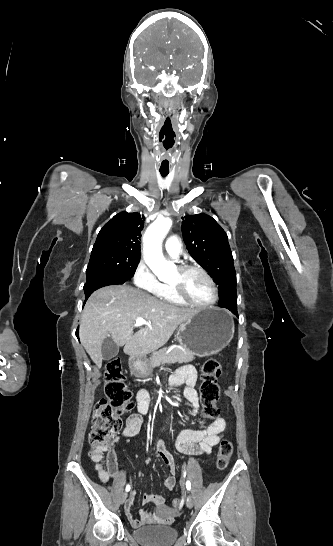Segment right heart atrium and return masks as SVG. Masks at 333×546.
<instances>
[{"instance_id":"1","label":"right heart atrium","mask_w":333,"mask_h":546,"mask_svg":"<svg viewBox=\"0 0 333 546\" xmlns=\"http://www.w3.org/2000/svg\"><path fill=\"white\" fill-rule=\"evenodd\" d=\"M133 282L138 288L154 296H160L164 289V284L156 278L149 265L143 260L134 271Z\"/></svg>"}]
</instances>
